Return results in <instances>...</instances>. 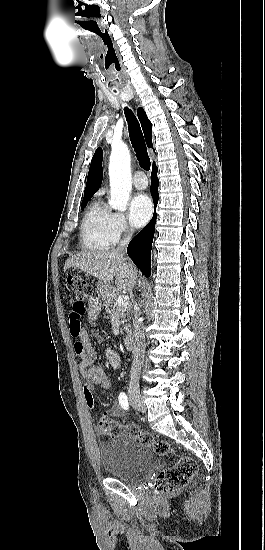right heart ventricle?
<instances>
[{
	"label": "right heart ventricle",
	"mask_w": 265,
	"mask_h": 550,
	"mask_svg": "<svg viewBox=\"0 0 265 550\" xmlns=\"http://www.w3.org/2000/svg\"><path fill=\"white\" fill-rule=\"evenodd\" d=\"M112 218L113 213L101 201H94L85 212L81 223V246L92 251L109 249L115 242Z\"/></svg>",
	"instance_id": "e07e8e85"
}]
</instances>
